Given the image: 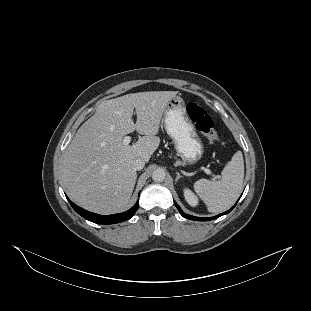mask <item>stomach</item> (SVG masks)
Masks as SVG:
<instances>
[{
    "label": "stomach",
    "instance_id": "0dacf381",
    "mask_svg": "<svg viewBox=\"0 0 311 311\" xmlns=\"http://www.w3.org/2000/svg\"><path fill=\"white\" fill-rule=\"evenodd\" d=\"M163 122L165 131L173 142L174 151L181 158L180 163L187 167L196 165L203 158L204 143L181 96L174 97L167 105Z\"/></svg>",
    "mask_w": 311,
    "mask_h": 311
}]
</instances>
